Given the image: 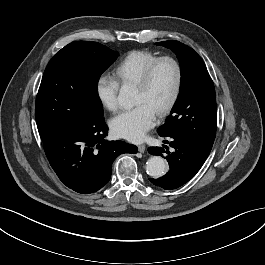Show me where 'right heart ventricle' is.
<instances>
[{
  "label": "right heart ventricle",
  "mask_w": 265,
  "mask_h": 265,
  "mask_svg": "<svg viewBox=\"0 0 265 265\" xmlns=\"http://www.w3.org/2000/svg\"><path fill=\"white\" fill-rule=\"evenodd\" d=\"M157 58L158 56L151 51H130L115 66L114 76L122 86L136 85L144 70Z\"/></svg>",
  "instance_id": "obj_1"
}]
</instances>
